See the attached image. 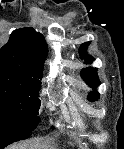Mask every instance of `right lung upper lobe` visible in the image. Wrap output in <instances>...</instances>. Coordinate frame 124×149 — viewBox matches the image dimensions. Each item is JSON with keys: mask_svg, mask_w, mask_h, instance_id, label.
<instances>
[{"mask_svg": "<svg viewBox=\"0 0 124 149\" xmlns=\"http://www.w3.org/2000/svg\"><path fill=\"white\" fill-rule=\"evenodd\" d=\"M47 54V44L41 33L31 27L17 29L0 49V75L25 86L40 87Z\"/></svg>", "mask_w": 124, "mask_h": 149, "instance_id": "cb5924a9", "label": "right lung upper lobe"}]
</instances>
